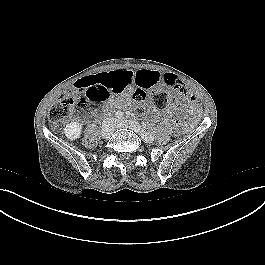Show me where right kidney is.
<instances>
[{"instance_id": "obj_1", "label": "right kidney", "mask_w": 265, "mask_h": 265, "mask_svg": "<svg viewBox=\"0 0 265 265\" xmlns=\"http://www.w3.org/2000/svg\"><path fill=\"white\" fill-rule=\"evenodd\" d=\"M82 125L78 122H71L64 128L65 136L70 140H76L80 137Z\"/></svg>"}]
</instances>
